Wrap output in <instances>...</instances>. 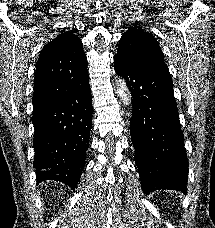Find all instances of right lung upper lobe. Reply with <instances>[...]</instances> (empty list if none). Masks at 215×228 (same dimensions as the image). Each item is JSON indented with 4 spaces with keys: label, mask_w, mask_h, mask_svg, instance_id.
<instances>
[{
    "label": "right lung upper lobe",
    "mask_w": 215,
    "mask_h": 228,
    "mask_svg": "<svg viewBox=\"0 0 215 228\" xmlns=\"http://www.w3.org/2000/svg\"><path fill=\"white\" fill-rule=\"evenodd\" d=\"M88 75L82 41L71 32H63L46 44L36 64L33 113L63 96L68 83Z\"/></svg>",
    "instance_id": "obj_1"
}]
</instances>
